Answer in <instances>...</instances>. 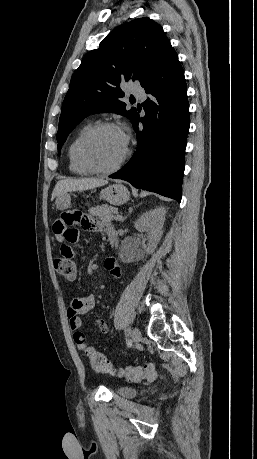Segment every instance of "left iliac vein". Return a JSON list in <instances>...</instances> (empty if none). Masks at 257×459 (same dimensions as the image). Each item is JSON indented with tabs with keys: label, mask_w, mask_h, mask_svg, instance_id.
<instances>
[{
	"label": "left iliac vein",
	"mask_w": 257,
	"mask_h": 459,
	"mask_svg": "<svg viewBox=\"0 0 257 459\" xmlns=\"http://www.w3.org/2000/svg\"><path fill=\"white\" fill-rule=\"evenodd\" d=\"M140 339H141L140 330L137 327L133 328L132 333H131V343H137L140 341Z\"/></svg>",
	"instance_id": "1"
}]
</instances>
